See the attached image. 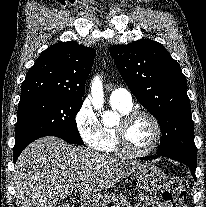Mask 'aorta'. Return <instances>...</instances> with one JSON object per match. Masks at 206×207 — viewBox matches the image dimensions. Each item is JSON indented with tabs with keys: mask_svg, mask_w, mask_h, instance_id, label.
Masks as SVG:
<instances>
[{
	"mask_svg": "<svg viewBox=\"0 0 206 207\" xmlns=\"http://www.w3.org/2000/svg\"><path fill=\"white\" fill-rule=\"evenodd\" d=\"M91 93H92L91 102L93 104L94 109L101 111L104 105V94H103L102 82L97 77L92 82ZM117 119H118V115L115 112L103 111L102 113V121L105 125L114 123L116 122Z\"/></svg>",
	"mask_w": 206,
	"mask_h": 207,
	"instance_id": "aorta-1",
	"label": "aorta"
}]
</instances>
